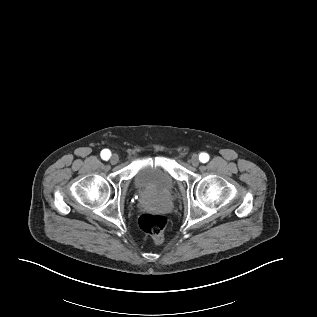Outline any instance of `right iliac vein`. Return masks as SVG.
<instances>
[{"label": "right iliac vein", "instance_id": "right-iliac-vein-1", "mask_svg": "<svg viewBox=\"0 0 317 317\" xmlns=\"http://www.w3.org/2000/svg\"><path fill=\"white\" fill-rule=\"evenodd\" d=\"M119 162V157H118V155H112V157L110 158V163L111 164H117Z\"/></svg>", "mask_w": 317, "mask_h": 317}]
</instances>
